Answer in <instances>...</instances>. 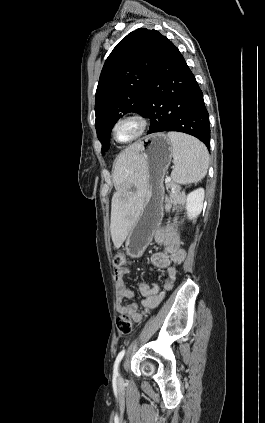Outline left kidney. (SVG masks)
<instances>
[{"instance_id":"5707ae66","label":"left kidney","mask_w":265,"mask_h":423,"mask_svg":"<svg viewBox=\"0 0 265 423\" xmlns=\"http://www.w3.org/2000/svg\"><path fill=\"white\" fill-rule=\"evenodd\" d=\"M204 189L198 188L190 192L186 197V210L189 219L197 217L203 207Z\"/></svg>"}]
</instances>
